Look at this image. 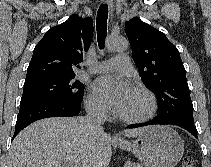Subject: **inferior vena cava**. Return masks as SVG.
Here are the masks:
<instances>
[{
    "label": "inferior vena cava",
    "mask_w": 211,
    "mask_h": 167,
    "mask_svg": "<svg viewBox=\"0 0 211 167\" xmlns=\"http://www.w3.org/2000/svg\"><path fill=\"white\" fill-rule=\"evenodd\" d=\"M85 128L93 135H100L103 132L102 125L105 122V108L101 104H91L86 108Z\"/></svg>",
    "instance_id": "inferior-vena-cava-1"
}]
</instances>
